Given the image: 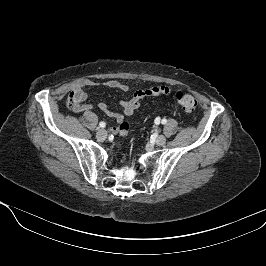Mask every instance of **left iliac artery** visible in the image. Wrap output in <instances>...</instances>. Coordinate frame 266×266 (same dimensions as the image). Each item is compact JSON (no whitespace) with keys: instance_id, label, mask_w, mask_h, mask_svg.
Returning <instances> with one entry per match:
<instances>
[{"instance_id":"left-iliac-artery-1","label":"left iliac artery","mask_w":266,"mask_h":266,"mask_svg":"<svg viewBox=\"0 0 266 266\" xmlns=\"http://www.w3.org/2000/svg\"><path fill=\"white\" fill-rule=\"evenodd\" d=\"M161 123L162 124H166L167 123V120L166 119H162Z\"/></svg>"}]
</instances>
